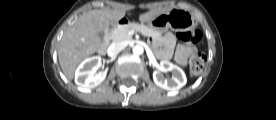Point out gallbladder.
Listing matches in <instances>:
<instances>
[{
	"mask_svg": "<svg viewBox=\"0 0 276 120\" xmlns=\"http://www.w3.org/2000/svg\"><path fill=\"white\" fill-rule=\"evenodd\" d=\"M99 37L101 38V39H103L104 38V35H103V33L101 32V33H99Z\"/></svg>",
	"mask_w": 276,
	"mask_h": 120,
	"instance_id": "gallbladder-1",
	"label": "gallbladder"
}]
</instances>
